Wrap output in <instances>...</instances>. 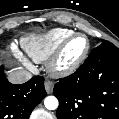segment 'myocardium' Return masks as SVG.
<instances>
[{"instance_id":"1","label":"myocardium","mask_w":119,"mask_h":119,"mask_svg":"<svg viewBox=\"0 0 119 119\" xmlns=\"http://www.w3.org/2000/svg\"><path fill=\"white\" fill-rule=\"evenodd\" d=\"M76 37H82L86 41V48H85L83 54L76 61H74L71 64H62L61 58H62L64 49L69 44V42ZM90 49H91V44H90L88 37L85 34L72 33L58 45L56 50L50 56V59L47 64L48 72L52 76H68V75L73 74L85 62V60L87 59V57L90 53Z\"/></svg>"}]
</instances>
